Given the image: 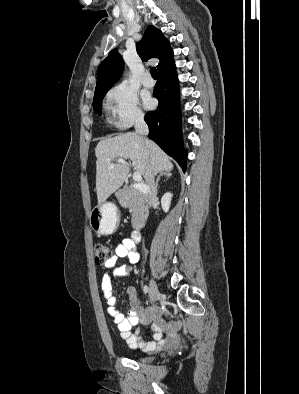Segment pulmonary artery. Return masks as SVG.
<instances>
[{
    "instance_id": "obj_1",
    "label": "pulmonary artery",
    "mask_w": 299,
    "mask_h": 394,
    "mask_svg": "<svg viewBox=\"0 0 299 394\" xmlns=\"http://www.w3.org/2000/svg\"><path fill=\"white\" fill-rule=\"evenodd\" d=\"M142 84H143V86L148 87V88L153 87V85H154V80L152 79V77L150 76L149 73H146V74L143 76V78H142Z\"/></svg>"
}]
</instances>
